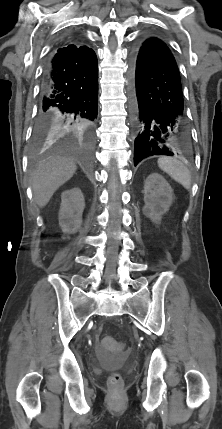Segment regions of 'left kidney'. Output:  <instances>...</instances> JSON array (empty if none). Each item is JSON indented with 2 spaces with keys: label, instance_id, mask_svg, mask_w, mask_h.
Listing matches in <instances>:
<instances>
[{
  "label": "left kidney",
  "instance_id": "5707ae66",
  "mask_svg": "<svg viewBox=\"0 0 222 429\" xmlns=\"http://www.w3.org/2000/svg\"><path fill=\"white\" fill-rule=\"evenodd\" d=\"M173 190L168 182L157 173L150 174L144 183V214L159 223L173 202Z\"/></svg>",
  "mask_w": 222,
  "mask_h": 429
}]
</instances>
